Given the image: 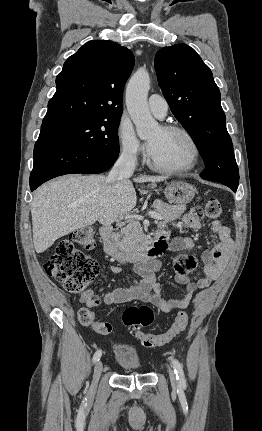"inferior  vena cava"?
<instances>
[{
	"instance_id": "inferior-vena-cava-1",
	"label": "inferior vena cava",
	"mask_w": 262,
	"mask_h": 431,
	"mask_svg": "<svg viewBox=\"0 0 262 431\" xmlns=\"http://www.w3.org/2000/svg\"><path fill=\"white\" fill-rule=\"evenodd\" d=\"M136 164V155L129 150H124L111 169L107 177V181L114 184L122 181L123 179L131 177L135 170Z\"/></svg>"
}]
</instances>
